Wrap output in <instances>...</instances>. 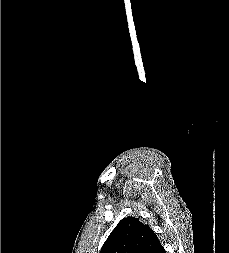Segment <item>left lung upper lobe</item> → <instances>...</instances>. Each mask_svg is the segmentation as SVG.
Returning a JSON list of instances; mask_svg holds the SVG:
<instances>
[{
  "label": "left lung upper lobe",
  "mask_w": 229,
  "mask_h": 253,
  "mask_svg": "<svg viewBox=\"0 0 229 253\" xmlns=\"http://www.w3.org/2000/svg\"><path fill=\"white\" fill-rule=\"evenodd\" d=\"M160 245L148 225L135 217H127L110 233L100 253H155Z\"/></svg>",
  "instance_id": "obj_1"
}]
</instances>
